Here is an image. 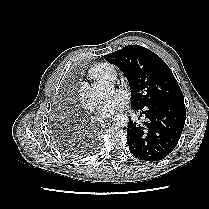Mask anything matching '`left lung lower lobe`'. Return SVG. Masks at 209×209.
I'll use <instances>...</instances> for the list:
<instances>
[{
    "label": "left lung lower lobe",
    "instance_id": "left-lung-lower-lobe-1",
    "mask_svg": "<svg viewBox=\"0 0 209 209\" xmlns=\"http://www.w3.org/2000/svg\"><path fill=\"white\" fill-rule=\"evenodd\" d=\"M147 121L128 123L127 143L131 153L142 161H159L176 147L185 124L184 102L160 103L133 108Z\"/></svg>",
    "mask_w": 209,
    "mask_h": 209
}]
</instances>
